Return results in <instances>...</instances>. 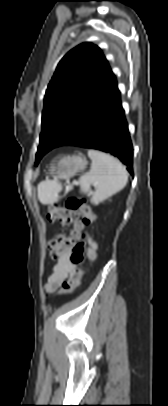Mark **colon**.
<instances>
[{"mask_svg": "<svg viewBox=\"0 0 168 406\" xmlns=\"http://www.w3.org/2000/svg\"><path fill=\"white\" fill-rule=\"evenodd\" d=\"M46 217L49 222L57 221L62 225L74 224L76 227L90 225L95 220V215L85 199L75 196L69 197L64 206L51 207ZM67 249L71 250V263L76 266L81 265L84 261L86 243L80 238L77 230L50 241L49 252L52 259L59 258ZM82 276L83 270L78 268L75 277L63 282L58 293L61 295L72 293L81 284Z\"/></svg>", "mask_w": 168, "mask_h": 406, "instance_id": "5ec220e1", "label": "colon"}]
</instances>
